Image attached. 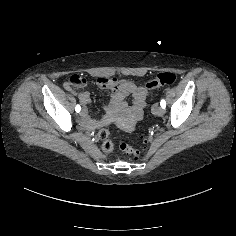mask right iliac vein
<instances>
[{"label":"right iliac vein","instance_id":"obj_1","mask_svg":"<svg viewBox=\"0 0 236 236\" xmlns=\"http://www.w3.org/2000/svg\"><path fill=\"white\" fill-rule=\"evenodd\" d=\"M86 113H87V111L83 108V109L81 110V112H80V115H81V116H85Z\"/></svg>","mask_w":236,"mask_h":236}]
</instances>
